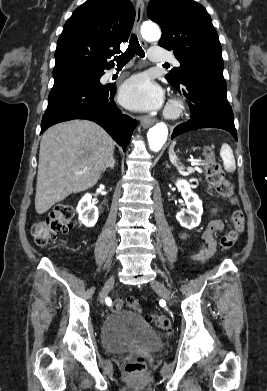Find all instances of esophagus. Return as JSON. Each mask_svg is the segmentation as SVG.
Instances as JSON below:
<instances>
[{
    "instance_id": "1",
    "label": "esophagus",
    "mask_w": 267,
    "mask_h": 391,
    "mask_svg": "<svg viewBox=\"0 0 267 391\" xmlns=\"http://www.w3.org/2000/svg\"><path fill=\"white\" fill-rule=\"evenodd\" d=\"M143 12H144V2L143 0H137L136 3V17H135V23H134V30L136 34L140 37V25L143 17ZM141 43L143 46H147V44L141 39ZM141 124L143 127H149L152 124L156 122V119L154 118H149L147 116H142L140 118Z\"/></svg>"
}]
</instances>
